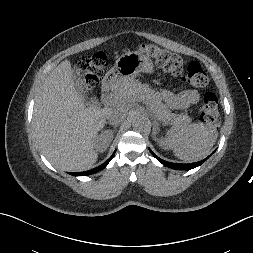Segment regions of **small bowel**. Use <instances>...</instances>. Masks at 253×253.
I'll return each instance as SVG.
<instances>
[{
	"mask_svg": "<svg viewBox=\"0 0 253 253\" xmlns=\"http://www.w3.org/2000/svg\"><path fill=\"white\" fill-rule=\"evenodd\" d=\"M162 97L170 107L175 109H185L199 101V93L195 90H184L177 94L164 90Z\"/></svg>",
	"mask_w": 253,
	"mask_h": 253,
	"instance_id": "1",
	"label": "small bowel"
}]
</instances>
